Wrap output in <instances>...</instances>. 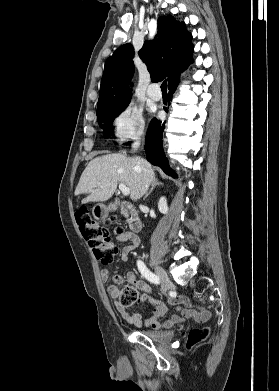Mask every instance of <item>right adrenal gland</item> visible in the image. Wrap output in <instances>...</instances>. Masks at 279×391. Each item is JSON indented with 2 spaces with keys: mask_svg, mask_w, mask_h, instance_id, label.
Segmentation results:
<instances>
[{
  "mask_svg": "<svg viewBox=\"0 0 279 391\" xmlns=\"http://www.w3.org/2000/svg\"><path fill=\"white\" fill-rule=\"evenodd\" d=\"M161 185H163V183H162V182H159L157 179H155V180L152 182V184H151L150 190L146 193V195L144 196L143 199H146V198L152 193V191L154 190V188H155L156 186H161Z\"/></svg>",
  "mask_w": 279,
  "mask_h": 391,
  "instance_id": "1",
  "label": "right adrenal gland"
}]
</instances>
